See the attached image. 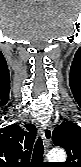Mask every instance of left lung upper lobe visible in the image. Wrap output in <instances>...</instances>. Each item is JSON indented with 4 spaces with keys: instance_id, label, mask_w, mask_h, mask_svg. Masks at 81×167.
<instances>
[{
    "instance_id": "5c2ea615",
    "label": "left lung upper lobe",
    "mask_w": 81,
    "mask_h": 167,
    "mask_svg": "<svg viewBox=\"0 0 81 167\" xmlns=\"http://www.w3.org/2000/svg\"><path fill=\"white\" fill-rule=\"evenodd\" d=\"M53 142L67 151V162L63 167H81V127L67 121L53 131Z\"/></svg>"
}]
</instances>
